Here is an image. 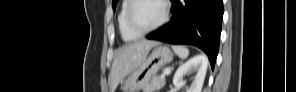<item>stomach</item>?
<instances>
[{
  "label": "stomach",
  "instance_id": "0dacf381",
  "mask_svg": "<svg viewBox=\"0 0 296 92\" xmlns=\"http://www.w3.org/2000/svg\"><path fill=\"white\" fill-rule=\"evenodd\" d=\"M172 59L173 53L168 47H155L149 57L127 78L122 87L123 92H139Z\"/></svg>",
  "mask_w": 296,
  "mask_h": 92
}]
</instances>
